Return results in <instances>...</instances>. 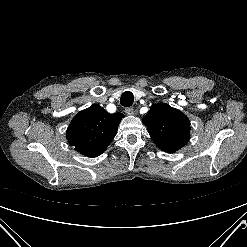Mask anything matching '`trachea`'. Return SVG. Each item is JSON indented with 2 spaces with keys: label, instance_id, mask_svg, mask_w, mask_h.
<instances>
[{
  "label": "trachea",
  "instance_id": "1",
  "mask_svg": "<svg viewBox=\"0 0 247 247\" xmlns=\"http://www.w3.org/2000/svg\"><path fill=\"white\" fill-rule=\"evenodd\" d=\"M134 102V95L130 91H126L120 98V104L124 107H130Z\"/></svg>",
  "mask_w": 247,
  "mask_h": 247
}]
</instances>
